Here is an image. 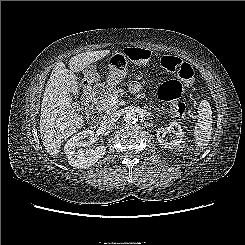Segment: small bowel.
Segmentation results:
<instances>
[{
	"label": "small bowel",
	"mask_w": 245,
	"mask_h": 245,
	"mask_svg": "<svg viewBox=\"0 0 245 245\" xmlns=\"http://www.w3.org/2000/svg\"><path fill=\"white\" fill-rule=\"evenodd\" d=\"M129 88H130V90H131L133 93H138L139 90H140V85H139L138 82L132 81V82L129 84Z\"/></svg>",
	"instance_id": "obj_1"
}]
</instances>
